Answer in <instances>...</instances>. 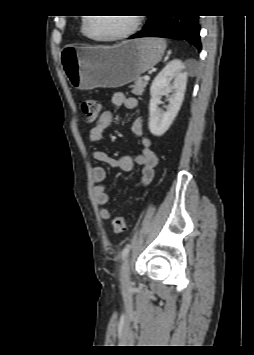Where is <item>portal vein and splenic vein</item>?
<instances>
[{
  "label": "portal vein and splenic vein",
  "mask_w": 254,
  "mask_h": 355,
  "mask_svg": "<svg viewBox=\"0 0 254 355\" xmlns=\"http://www.w3.org/2000/svg\"><path fill=\"white\" fill-rule=\"evenodd\" d=\"M150 79V77L149 76H144V80H146V81H148Z\"/></svg>",
  "instance_id": "1"
}]
</instances>
